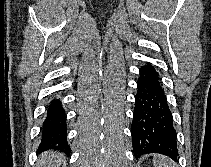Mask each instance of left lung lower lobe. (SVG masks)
Here are the masks:
<instances>
[{"label": "left lung lower lobe", "mask_w": 211, "mask_h": 167, "mask_svg": "<svg viewBox=\"0 0 211 167\" xmlns=\"http://www.w3.org/2000/svg\"><path fill=\"white\" fill-rule=\"evenodd\" d=\"M131 135L134 155L159 153L177 159V133L159 74L147 63L139 68Z\"/></svg>", "instance_id": "1"}]
</instances>
